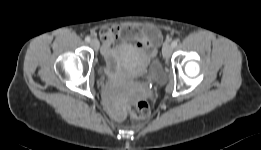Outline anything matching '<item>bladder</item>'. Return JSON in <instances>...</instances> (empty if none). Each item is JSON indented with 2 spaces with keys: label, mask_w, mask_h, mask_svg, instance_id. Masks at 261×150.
<instances>
[{
  "label": "bladder",
  "mask_w": 261,
  "mask_h": 150,
  "mask_svg": "<svg viewBox=\"0 0 261 150\" xmlns=\"http://www.w3.org/2000/svg\"><path fill=\"white\" fill-rule=\"evenodd\" d=\"M130 52V48L126 45H117L104 49L101 55L99 72L105 76L116 73L131 74L132 70L128 65V55ZM147 74L156 81L164 79V69L157 56L151 59Z\"/></svg>",
  "instance_id": "bladder-1"
}]
</instances>
